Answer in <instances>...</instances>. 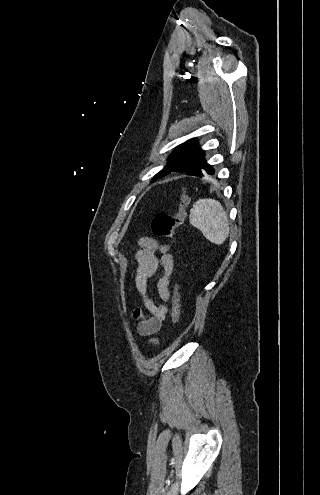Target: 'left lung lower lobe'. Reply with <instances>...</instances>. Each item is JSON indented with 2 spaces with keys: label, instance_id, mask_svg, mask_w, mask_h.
<instances>
[{
  "label": "left lung lower lobe",
  "instance_id": "1",
  "mask_svg": "<svg viewBox=\"0 0 320 495\" xmlns=\"http://www.w3.org/2000/svg\"><path fill=\"white\" fill-rule=\"evenodd\" d=\"M186 174L203 178L206 174H214V169L204 159L200 164L187 171Z\"/></svg>",
  "mask_w": 320,
  "mask_h": 495
}]
</instances>
